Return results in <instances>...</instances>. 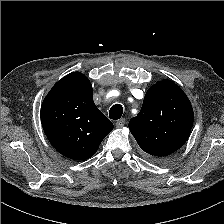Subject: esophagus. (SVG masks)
<instances>
[{
    "mask_svg": "<svg viewBox=\"0 0 224 224\" xmlns=\"http://www.w3.org/2000/svg\"><path fill=\"white\" fill-rule=\"evenodd\" d=\"M125 123H126L125 118H121V119H119V120L116 122V127H117V128H122V127H124Z\"/></svg>",
    "mask_w": 224,
    "mask_h": 224,
    "instance_id": "1",
    "label": "esophagus"
}]
</instances>
